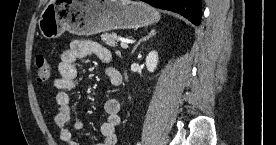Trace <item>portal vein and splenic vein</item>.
Wrapping results in <instances>:
<instances>
[{
	"instance_id": "18ae733b",
	"label": "portal vein and splenic vein",
	"mask_w": 276,
	"mask_h": 145,
	"mask_svg": "<svg viewBox=\"0 0 276 145\" xmlns=\"http://www.w3.org/2000/svg\"><path fill=\"white\" fill-rule=\"evenodd\" d=\"M120 46H121L122 48H124V49H127V48H128V44H127L126 42H124V41H122V42L120 43Z\"/></svg>"
}]
</instances>
